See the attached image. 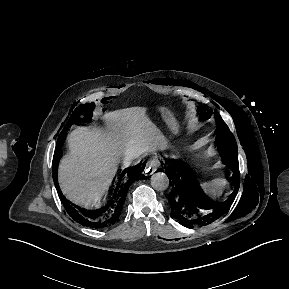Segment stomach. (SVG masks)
Returning a JSON list of instances; mask_svg holds the SVG:
<instances>
[{
	"mask_svg": "<svg viewBox=\"0 0 289 289\" xmlns=\"http://www.w3.org/2000/svg\"><path fill=\"white\" fill-rule=\"evenodd\" d=\"M159 110L161 112L162 118L165 120V122L167 123L173 134L179 136L180 127L177 121L175 120L173 114L166 107H160Z\"/></svg>",
	"mask_w": 289,
	"mask_h": 289,
	"instance_id": "stomach-1",
	"label": "stomach"
}]
</instances>
